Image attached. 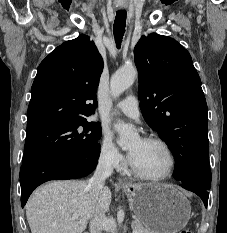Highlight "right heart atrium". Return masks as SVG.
I'll return each instance as SVG.
<instances>
[{
  "instance_id": "obj_1",
  "label": "right heart atrium",
  "mask_w": 227,
  "mask_h": 233,
  "mask_svg": "<svg viewBox=\"0 0 227 233\" xmlns=\"http://www.w3.org/2000/svg\"><path fill=\"white\" fill-rule=\"evenodd\" d=\"M99 163L107 168L113 170L121 169L125 164V159L114 144L110 135L103 133L99 144Z\"/></svg>"
}]
</instances>
